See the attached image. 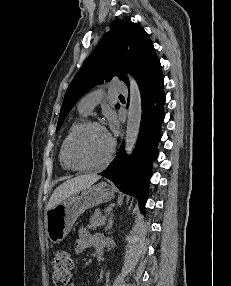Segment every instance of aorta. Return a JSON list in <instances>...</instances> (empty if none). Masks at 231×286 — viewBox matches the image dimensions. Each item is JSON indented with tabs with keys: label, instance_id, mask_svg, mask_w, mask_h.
Segmentation results:
<instances>
[{
	"label": "aorta",
	"instance_id": "1",
	"mask_svg": "<svg viewBox=\"0 0 231 286\" xmlns=\"http://www.w3.org/2000/svg\"><path fill=\"white\" fill-rule=\"evenodd\" d=\"M130 81V102L127 113V126L125 131V152L131 155L135 147L140 130L142 116L141 93L137 82L129 77Z\"/></svg>",
	"mask_w": 231,
	"mask_h": 286
}]
</instances>
